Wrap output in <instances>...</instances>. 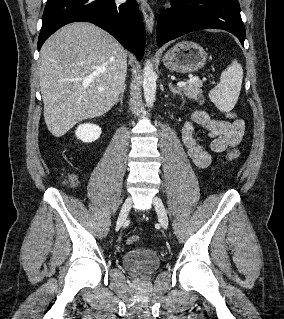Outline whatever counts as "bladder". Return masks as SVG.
<instances>
[{
	"label": "bladder",
	"mask_w": 284,
	"mask_h": 319,
	"mask_svg": "<svg viewBox=\"0 0 284 319\" xmlns=\"http://www.w3.org/2000/svg\"><path fill=\"white\" fill-rule=\"evenodd\" d=\"M124 269L135 277H147L160 267L158 254L147 248H137L125 252L121 257Z\"/></svg>",
	"instance_id": "31cf9c89"
}]
</instances>
